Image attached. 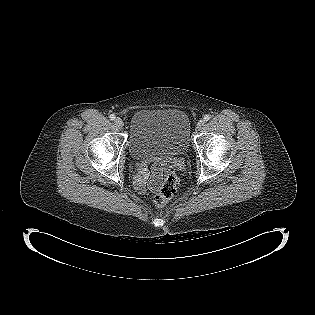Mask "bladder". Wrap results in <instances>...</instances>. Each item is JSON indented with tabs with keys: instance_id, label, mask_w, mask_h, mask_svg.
Segmentation results:
<instances>
[{
	"instance_id": "31cf9c89",
	"label": "bladder",
	"mask_w": 315,
	"mask_h": 315,
	"mask_svg": "<svg viewBox=\"0 0 315 315\" xmlns=\"http://www.w3.org/2000/svg\"><path fill=\"white\" fill-rule=\"evenodd\" d=\"M190 133L189 118L180 109L138 110L130 121L129 152L140 161L177 157L187 151Z\"/></svg>"
}]
</instances>
